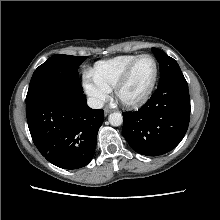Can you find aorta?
I'll return each instance as SVG.
<instances>
[{
  "label": "aorta",
  "instance_id": "aorta-1",
  "mask_svg": "<svg viewBox=\"0 0 220 220\" xmlns=\"http://www.w3.org/2000/svg\"><path fill=\"white\" fill-rule=\"evenodd\" d=\"M108 120L112 126H120L123 123V116L119 112H114L109 115Z\"/></svg>",
  "mask_w": 220,
  "mask_h": 220
}]
</instances>
